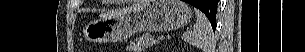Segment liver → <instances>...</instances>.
<instances>
[{
  "mask_svg": "<svg viewBox=\"0 0 305 52\" xmlns=\"http://www.w3.org/2000/svg\"><path fill=\"white\" fill-rule=\"evenodd\" d=\"M145 3H147V1H143V2H141V4H136V5H133V6H131V7H128V8H126V9H123V10L112 11V12L108 13L107 15H105V17L108 18V17H110V16H118V15H121V14H123V13H125V12H127V11H129V10H131V9H134V8H137V7L141 6V5H144Z\"/></svg>",
  "mask_w": 305,
  "mask_h": 52,
  "instance_id": "liver-1",
  "label": "liver"
}]
</instances>
